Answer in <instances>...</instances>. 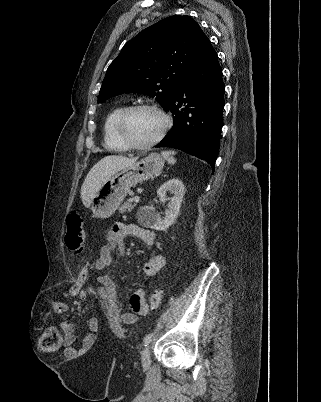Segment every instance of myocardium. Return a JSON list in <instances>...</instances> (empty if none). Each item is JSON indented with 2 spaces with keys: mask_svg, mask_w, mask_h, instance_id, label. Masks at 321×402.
<instances>
[{
  "mask_svg": "<svg viewBox=\"0 0 321 402\" xmlns=\"http://www.w3.org/2000/svg\"><path fill=\"white\" fill-rule=\"evenodd\" d=\"M139 110H151L157 112L163 119V128L158 134L157 137H155L153 140L145 143V144H138L135 143L128 135L126 132V123L130 115L136 111ZM172 121L168 113L163 110L161 107L154 105V104H149V103H140V104H135L129 107H126L122 113L120 114L117 123H116V131L117 134L120 138V140L124 143V145L128 149H133L137 151H142V150H147L158 144L167 134L171 127Z\"/></svg>",
  "mask_w": 321,
  "mask_h": 402,
  "instance_id": "1",
  "label": "myocardium"
}]
</instances>
